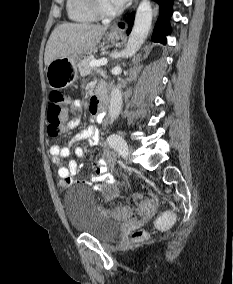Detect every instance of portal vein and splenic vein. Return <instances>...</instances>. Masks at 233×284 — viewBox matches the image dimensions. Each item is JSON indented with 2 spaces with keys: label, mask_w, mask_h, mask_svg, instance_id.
Here are the masks:
<instances>
[{
  "label": "portal vein and splenic vein",
  "mask_w": 233,
  "mask_h": 284,
  "mask_svg": "<svg viewBox=\"0 0 233 284\" xmlns=\"http://www.w3.org/2000/svg\"><path fill=\"white\" fill-rule=\"evenodd\" d=\"M108 63V59L107 58H102L100 60H91L89 65L91 67H96V66H102V65H106Z\"/></svg>",
  "instance_id": "obj_1"
}]
</instances>
